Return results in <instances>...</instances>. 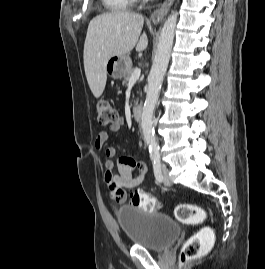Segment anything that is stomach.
<instances>
[{
	"instance_id": "0dacf381",
	"label": "stomach",
	"mask_w": 265,
	"mask_h": 269,
	"mask_svg": "<svg viewBox=\"0 0 265 269\" xmlns=\"http://www.w3.org/2000/svg\"><path fill=\"white\" fill-rule=\"evenodd\" d=\"M131 66V59L128 55L113 56L107 62L106 72L114 79H121L130 72Z\"/></svg>"
}]
</instances>
